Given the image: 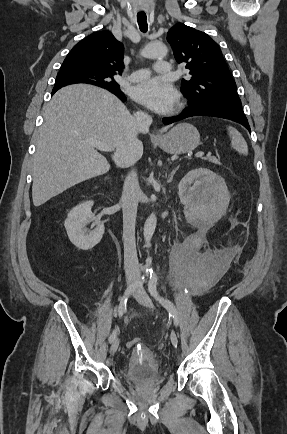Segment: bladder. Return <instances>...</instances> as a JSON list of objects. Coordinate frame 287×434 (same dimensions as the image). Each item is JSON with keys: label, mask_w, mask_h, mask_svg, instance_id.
<instances>
[{"label": "bladder", "mask_w": 287, "mask_h": 434, "mask_svg": "<svg viewBox=\"0 0 287 434\" xmlns=\"http://www.w3.org/2000/svg\"><path fill=\"white\" fill-rule=\"evenodd\" d=\"M121 378L131 384L154 383L161 377L160 364L151 352H133L120 370Z\"/></svg>", "instance_id": "31cf9c89"}]
</instances>
